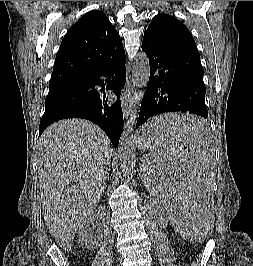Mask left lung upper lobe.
<instances>
[{
    "label": "left lung upper lobe",
    "mask_w": 253,
    "mask_h": 266,
    "mask_svg": "<svg viewBox=\"0 0 253 266\" xmlns=\"http://www.w3.org/2000/svg\"><path fill=\"white\" fill-rule=\"evenodd\" d=\"M144 37L177 42L197 49L187 27L178 19L168 14H157L144 32Z\"/></svg>",
    "instance_id": "left-lung-upper-lobe-1"
}]
</instances>
